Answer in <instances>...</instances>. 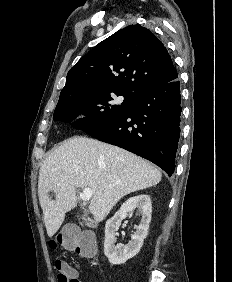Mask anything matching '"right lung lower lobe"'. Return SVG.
I'll return each instance as SVG.
<instances>
[{
	"mask_svg": "<svg viewBox=\"0 0 232 282\" xmlns=\"http://www.w3.org/2000/svg\"><path fill=\"white\" fill-rule=\"evenodd\" d=\"M181 111L180 81L176 78L144 88L128 112L86 133L148 159L172 176Z\"/></svg>",
	"mask_w": 232,
	"mask_h": 282,
	"instance_id": "obj_1",
	"label": "right lung lower lobe"
}]
</instances>
